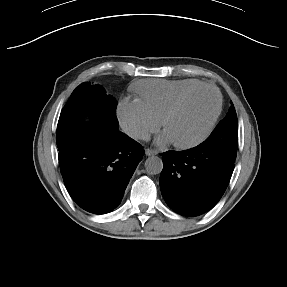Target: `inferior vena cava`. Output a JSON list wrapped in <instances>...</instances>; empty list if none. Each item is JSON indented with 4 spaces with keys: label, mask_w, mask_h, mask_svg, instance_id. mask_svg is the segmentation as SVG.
I'll list each match as a JSON object with an SVG mask.
<instances>
[{
    "label": "inferior vena cava",
    "mask_w": 287,
    "mask_h": 287,
    "mask_svg": "<svg viewBox=\"0 0 287 287\" xmlns=\"http://www.w3.org/2000/svg\"><path fill=\"white\" fill-rule=\"evenodd\" d=\"M124 132L134 139H140L149 141L150 140V134L143 128L137 126V125H126L124 127Z\"/></svg>",
    "instance_id": "inferior-vena-cava-1"
}]
</instances>
